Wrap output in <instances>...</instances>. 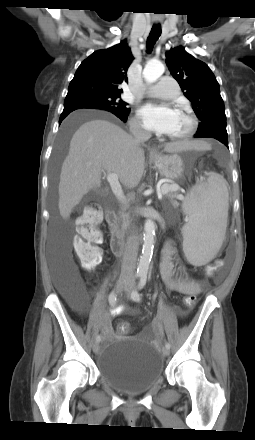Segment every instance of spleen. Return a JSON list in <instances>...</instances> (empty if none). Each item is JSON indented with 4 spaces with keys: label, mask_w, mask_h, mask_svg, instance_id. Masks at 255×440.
<instances>
[{
    "label": "spleen",
    "mask_w": 255,
    "mask_h": 440,
    "mask_svg": "<svg viewBox=\"0 0 255 440\" xmlns=\"http://www.w3.org/2000/svg\"><path fill=\"white\" fill-rule=\"evenodd\" d=\"M229 194L226 183L211 175L194 186L183 202L189 222L182 228L183 250L193 265H204L219 251L227 227Z\"/></svg>",
    "instance_id": "1"
}]
</instances>
